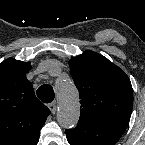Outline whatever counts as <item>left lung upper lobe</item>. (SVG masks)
Returning <instances> with one entry per match:
<instances>
[{
  "mask_svg": "<svg viewBox=\"0 0 145 145\" xmlns=\"http://www.w3.org/2000/svg\"><path fill=\"white\" fill-rule=\"evenodd\" d=\"M69 66L81 99L79 122L128 125L133 90L126 73L104 56L89 50L72 58Z\"/></svg>",
  "mask_w": 145,
  "mask_h": 145,
  "instance_id": "obj_1",
  "label": "left lung upper lobe"
}]
</instances>
